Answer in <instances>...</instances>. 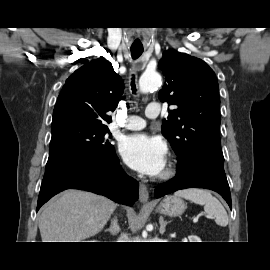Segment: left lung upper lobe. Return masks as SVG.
<instances>
[{
    "instance_id": "left-lung-upper-lobe-1",
    "label": "left lung upper lobe",
    "mask_w": 270,
    "mask_h": 270,
    "mask_svg": "<svg viewBox=\"0 0 270 270\" xmlns=\"http://www.w3.org/2000/svg\"><path fill=\"white\" fill-rule=\"evenodd\" d=\"M166 83L158 97L177 108L169 110L162 133L178 156L194 151L223 154L219 136V85L213 70L201 59L168 50L158 64Z\"/></svg>"
}]
</instances>
